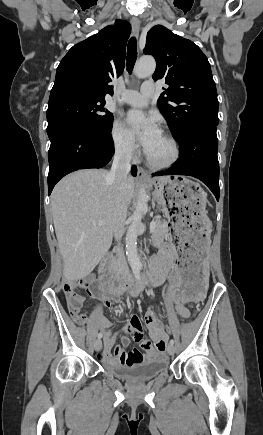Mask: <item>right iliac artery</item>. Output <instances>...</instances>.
Segmentation results:
<instances>
[{"mask_svg":"<svg viewBox=\"0 0 263 435\" xmlns=\"http://www.w3.org/2000/svg\"><path fill=\"white\" fill-rule=\"evenodd\" d=\"M136 277H137L139 280H141V278H142L141 275H140V273H139V270L136 271ZM101 337H102V334L99 333V334H98V338L100 339Z\"/></svg>","mask_w":263,"mask_h":435,"instance_id":"82829eb1","label":"right iliac artery"}]
</instances>
